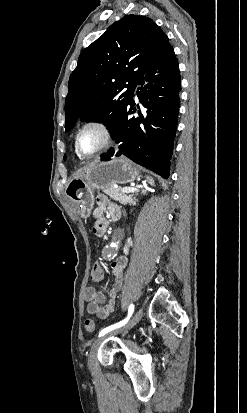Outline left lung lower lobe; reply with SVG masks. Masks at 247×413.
I'll use <instances>...</instances> for the list:
<instances>
[{"label":"left lung lower lobe","instance_id":"obj_1","mask_svg":"<svg viewBox=\"0 0 247 413\" xmlns=\"http://www.w3.org/2000/svg\"><path fill=\"white\" fill-rule=\"evenodd\" d=\"M136 95L141 109L130 99L119 126L112 135L118 143L117 156L151 169L163 178L169 177L170 159L177 129L181 79L178 61L172 47L167 48L142 76ZM139 116L130 118L131 110ZM142 112V113H141ZM114 150L101 155L109 161Z\"/></svg>","mask_w":247,"mask_h":413}]
</instances>
